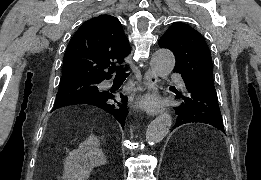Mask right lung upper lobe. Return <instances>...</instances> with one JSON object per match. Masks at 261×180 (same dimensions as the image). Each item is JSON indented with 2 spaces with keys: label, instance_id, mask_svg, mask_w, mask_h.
Returning a JSON list of instances; mask_svg holds the SVG:
<instances>
[{
  "label": "right lung upper lobe",
  "instance_id": "1",
  "mask_svg": "<svg viewBox=\"0 0 261 180\" xmlns=\"http://www.w3.org/2000/svg\"><path fill=\"white\" fill-rule=\"evenodd\" d=\"M130 45L116 17L101 15L85 22L71 38L63 58L61 81L110 79L113 61L121 64ZM109 66L108 72H105Z\"/></svg>",
  "mask_w": 261,
  "mask_h": 180
}]
</instances>
